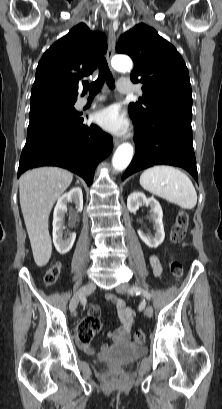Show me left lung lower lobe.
I'll use <instances>...</instances> for the list:
<instances>
[{
    "instance_id": "0a47b994",
    "label": "left lung lower lobe",
    "mask_w": 222,
    "mask_h": 409,
    "mask_svg": "<svg viewBox=\"0 0 222 409\" xmlns=\"http://www.w3.org/2000/svg\"><path fill=\"white\" fill-rule=\"evenodd\" d=\"M132 120L136 151L122 180L142 169L165 164L184 168L198 181L191 121L179 115Z\"/></svg>"
}]
</instances>
